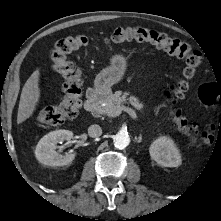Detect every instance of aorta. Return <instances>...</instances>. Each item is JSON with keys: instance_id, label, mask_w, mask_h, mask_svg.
I'll use <instances>...</instances> for the list:
<instances>
[{"instance_id": "1", "label": "aorta", "mask_w": 221, "mask_h": 221, "mask_svg": "<svg viewBox=\"0 0 221 221\" xmlns=\"http://www.w3.org/2000/svg\"><path fill=\"white\" fill-rule=\"evenodd\" d=\"M130 143L129 135L125 132H119L114 137L115 147L119 149L126 148Z\"/></svg>"}]
</instances>
